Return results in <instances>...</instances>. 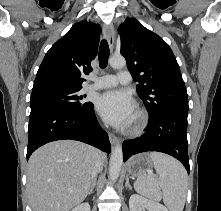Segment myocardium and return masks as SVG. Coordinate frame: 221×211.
<instances>
[{"label": "myocardium", "instance_id": "myocardium-1", "mask_svg": "<svg viewBox=\"0 0 221 211\" xmlns=\"http://www.w3.org/2000/svg\"><path fill=\"white\" fill-rule=\"evenodd\" d=\"M147 123H148L147 114L143 110L138 109L135 112L133 120L127 129V133L133 136L139 135L146 128Z\"/></svg>", "mask_w": 221, "mask_h": 211}]
</instances>
